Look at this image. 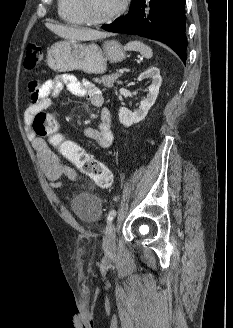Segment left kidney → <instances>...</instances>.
Masks as SVG:
<instances>
[{
  "label": "left kidney",
  "mask_w": 233,
  "mask_h": 328,
  "mask_svg": "<svg viewBox=\"0 0 233 328\" xmlns=\"http://www.w3.org/2000/svg\"><path fill=\"white\" fill-rule=\"evenodd\" d=\"M146 78L151 79V85L148 88L147 97L141 101L139 108L134 112H131L125 107L119 109V121L126 127H130L134 123L142 121L157 99L162 82L160 70L157 67H150L139 75L138 81H142Z\"/></svg>",
  "instance_id": "5707ae66"
}]
</instances>
